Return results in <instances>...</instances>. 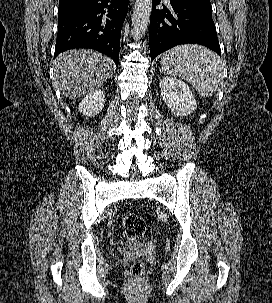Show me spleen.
<instances>
[{
	"label": "spleen",
	"instance_id": "obj_1",
	"mask_svg": "<svg viewBox=\"0 0 272 303\" xmlns=\"http://www.w3.org/2000/svg\"><path fill=\"white\" fill-rule=\"evenodd\" d=\"M164 73L191 83L204 98L217 90L222 78L220 58L206 47L187 44L166 51L161 60Z\"/></svg>",
	"mask_w": 272,
	"mask_h": 303
}]
</instances>
